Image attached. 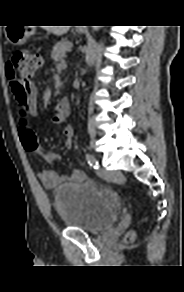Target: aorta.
<instances>
[{
    "label": "aorta",
    "mask_w": 184,
    "mask_h": 292,
    "mask_svg": "<svg viewBox=\"0 0 184 292\" xmlns=\"http://www.w3.org/2000/svg\"><path fill=\"white\" fill-rule=\"evenodd\" d=\"M93 30L94 31H98L99 30V26H93Z\"/></svg>",
    "instance_id": "aorta-1"
}]
</instances>
